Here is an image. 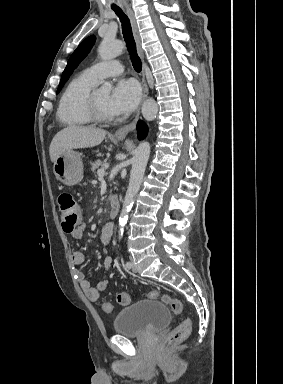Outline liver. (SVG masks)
<instances>
[{"instance_id":"liver-1","label":"liver","mask_w":283,"mask_h":384,"mask_svg":"<svg viewBox=\"0 0 283 384\" xmlns=\"http://www.w3.org/2000/svg\"><path fill=\"white\" fill-rule=\"evenodd\" d=\"M106 134L105 130L86 128V126H68V128H64L54 136L50 144L51 162H56L58 156H62L67 150L99 146Z\"/></svg>"}]
</instances>
